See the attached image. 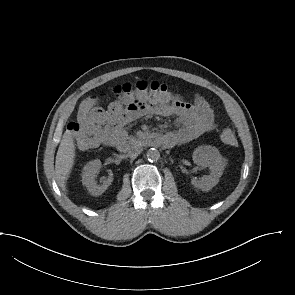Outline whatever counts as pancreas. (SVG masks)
I'll return each mask as SVG.
<instances>
[{
	"instance_id": "cf45deb5",
	"label": "pancreas",
	"mask_w": 295,
	"mask_h": 295,
	"mask_svg": "<svg viewBox=\"0 0 295 295\" xmlns=\"http://www.w3.org/2000/svg\"><path fill=\"white\" fill-rule=\"evenodd\" d=\"M130 141L135 142L136 139L135 138H130Z\"/></svg>"
}]
</instances>
